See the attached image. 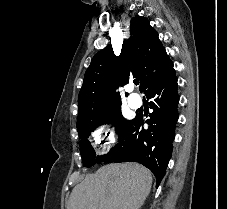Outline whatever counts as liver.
<instances>
[{
  "instance_id": "obj_1",
  "label": "liver",
  "mask_w": 227,
  "mask_h": 209,
  "mask_svg": "<svg viewBox=\"0 0 227 209\" xmlns=\"http://www.w3.org/2000/svg\"><path fill=\"white\" fill-rule=\"evenodd\" d=\"M152 181L142 165H105L74 187L68 209H140Z\"/></svg>"
}]
</instances>
